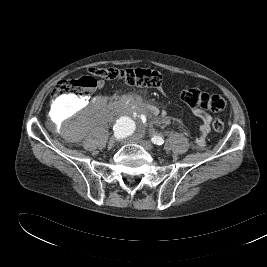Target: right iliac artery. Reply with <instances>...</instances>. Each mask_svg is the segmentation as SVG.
Wrapping results in <instances>:
<instances>
[{"instance_id":"right-iliac-artery-1","label":"right iliac artery","mask_w":267,"mask_h":267,"mask_svg":"<svg viewBox=\"0 0 267 267\" xmlns=\"http://www.w3.org/2000/svg\"><path fill=\"white\" fill-rule=\"evenodd\" d=\"M125 123L124 122H119L116 126H115V137L117 139L122 138L126 135V128H125Z\"/></svg>"}]
</instances>
